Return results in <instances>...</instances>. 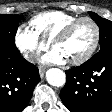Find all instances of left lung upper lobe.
<instances>
[{
    "label": "left lung upper lobe",
    "mask_w": 112,
    "mask_h": 112,
    "mask_svg": "<svg viewBox=\"0 0 112 112\" xmlns=\"http://www.w3.org/2000/svg\"><path fill=\"white\" fill-rule=\"evenodd\" d=\"M91 18L97 23L100 31V51L112 48V22L100 17L96 13L89 12Z\"/></svg>",
    "instance_id": "5c2ea615"
}]
</instances>
